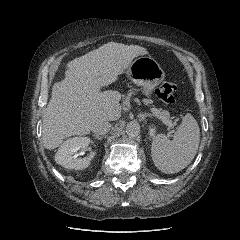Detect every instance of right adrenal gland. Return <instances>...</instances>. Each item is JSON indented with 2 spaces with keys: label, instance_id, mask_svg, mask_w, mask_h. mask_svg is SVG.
<instances>
[{
  "label": "right adrenal gland",
  "instance_id": "1",
  "mask_svg": "<svg viewBox=\"0 0 240 240\" xmlns=\"http://www.w3.org/2000/svg\"><path fill=\"white\" fill-rule=\"evenodd\" d=\"M94 138H96L97 140H102L103 136H98V135H93Z\"/></svg>",
  "mask_w": 240,
  "mask_h": 240
}]
</instances>
